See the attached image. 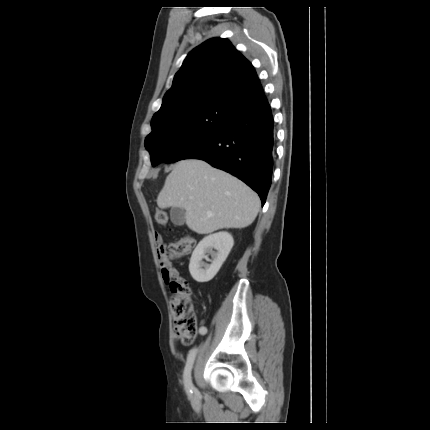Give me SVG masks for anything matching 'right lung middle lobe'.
I'll use <instances>...</instances> for the list:
<instances>
[{
    "label": "right lung middle lobe",
    "instance_id": "right-lung-middle-lobe-1",
    "mask_svg": "<svg viewBox=\"0 0 430 430\" xmlns=\"http://www.w3.org/2000/svg\"><path fill=\"white\" fill-rule=\"evenodd\" d=\"M231 110L218 101L204 102L152 123L145 147L153 166L184 159L217 135L227 124Z\"/></svg>",
    "mask_w": 430,
    "mask_h": 430
}]
</instances>
